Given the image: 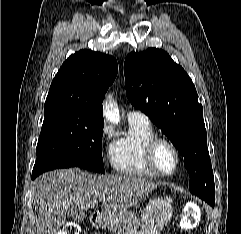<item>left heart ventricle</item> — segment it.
Returning a JSON list of instances; mask_svg holds the SVG:
<instances>
[{
  "label": "left heart ventricle",
  "instance_id": "b2bd125f",
  "mask_svg": "<svg viewBox=\"0 0 241 234\" xmlns=\"http://www.w3.org/2000/svg\"><path fill=\"white\" fill-rule=\"evenodd\" d=\"M156 157H157V163L163 171L169 172L174 168V165H175L174 154L172 150L166 145L159 146Z\"/></svg>",
  "mask_w": 241,
  "mask_h": 234
}]
</instances>
